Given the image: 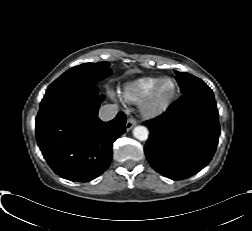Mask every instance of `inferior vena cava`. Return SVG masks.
<instances>
[{
    "instance_id": "602c4592",
    "label": "inferior vena cava",
    "mask_w": 252,
    "mask_h": 231,
    "mask_svg": "<svg viewBox=\"0 0 252 231\" xmlns=\"http://www.w3.org/2000/svg\"><path fill=\"white\" fill-rule=\"evenodd\" d=\"M118 113L117 104H106L99 109V118L103 121H109L113 119Z\"/></svg>"
}]
</instances>
